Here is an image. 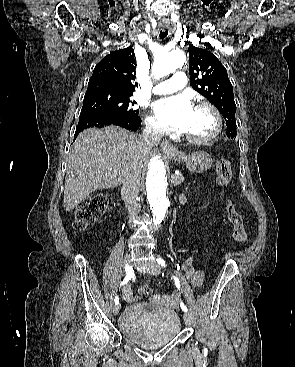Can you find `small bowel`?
I'll list each match as a JSON object with an SVG mask.
<instances>
[{"mask_svg": "<svg viewBox=\"0 0 295 367\" xmlns=\"http://www.w3.org/2000/svg\"><path fill=\"white\" fill-rule=\"evenodd\" d=\"M181 200H184V196H181ZM183 269L195 287L199 288L203 285L205 273L203 270L195 269V257H189L185 261ZM124 296L126 298H129L130 296V291L127 287L124 289Z\"/></svg>", "mask_w": 295, "mask_h": 367, "instance_id": "c3829d8e", "label": "small bowel"}]
</instances>
